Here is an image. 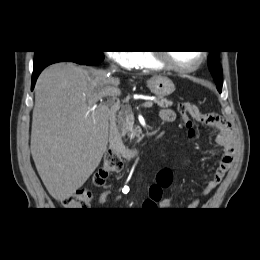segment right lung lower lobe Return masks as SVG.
I'll use <instances>...</instances> for the list:
<instances>
[{"label":"right lung lower lobe","instance_id":"1","mask_svg":"<svg viewBox=\"0 0 260 260\" xmlns=\"http://www.w3.org/2000/svg\"><path fill=\"white\" fill-rule=\"evenodd\" d=\"M104 56L102 52H81V51H64L48 52L40 59L34 61L32 74V89L41 71L50 64L70 61L81 65L93 66L102 62Z\"/></svg>","mask_w":260,"mask_h":260}]
</instances>
